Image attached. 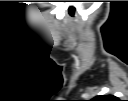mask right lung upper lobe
<instances>
[{"label":"right lung upper lobe","instance_id":"right-lung-upper-lobe-1","mask_svg":"<svg viewBox=\"0 0 128 101\" xmlns=\"http://www.w3.org/2000/svg\"><path fill=\"white\" fill-rule=\"evenodd\" d=\"M95 100H98V101H117V98L113 95H101V96H97L95 98Z\"/></svg>","mask_w":128,"mask_h":101}]
</instances>
